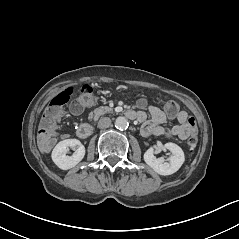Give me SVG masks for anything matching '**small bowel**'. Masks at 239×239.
<instances>
[{
	"mask_svg": "<svg viewBox=\"0 0 239 239\" xmlns=\"http://www.w3.org/2000/svg\"><path fill=\"white\" fill-rule=\"evenodd\" d=\"M139 110L137 112L130 110L134 113L135 117L142 123L141 133L143 136H165L167 138L178 137L182 140L187 139L192 133L193 128L189 125L188 120L189 116L186 111H179L174 116H169L164 113L156 105H148L145 99H140L137 102ZM147 108L150 119H147V114L144 109ZM176 118L178 124L173 125L172 127H164L163 124L167 122L168 119ZM52 139L48 144L44 145L45 150H49L55 143V137L58 135V132L53 131L51 133Z\"/></svg>",
	"mask_w": 239,
	"mask_h": 239,
	"instance_id": "c3829d8e",
	"label": "small bowel"
}]
</instances>
